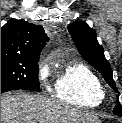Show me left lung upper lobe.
Segmentation results:
<instances>
[{
  "instance_id": "1",
  "label": "left lung upper lobe",
  "mask_w": 122,
  "mask_h": 123,
  "mask_svg": "<svg viewBox=\"0 0 122 123\" xmlns=\"http://www.w3.org/2000/svg\"><path fill=\"white\" fill-rule=\"evenodd\" d=\"M68 30L81 56L102 74L110 87L117 91L112 69L104 56L103 47L97 41L95 30L85 22L71 23L68 25ZM113 112L122 117V106L119 101Z\"/></svg>"
}]
</instances>
